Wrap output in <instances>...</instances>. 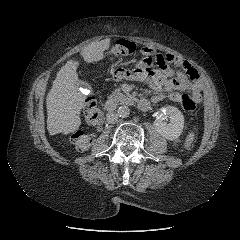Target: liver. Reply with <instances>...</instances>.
I'll return each mask as SVG.
<instances>
[{
    "label": "liver",
    "mask_w": 240,
    "mask_h": 240,
    "mask_svg": "<svg viewBox=\"0 0 240 240\" xmlns=\"http://www.w3.org/2000/svg\"><path fill=\"white\" fill-rule=\"evenodd\" d=\"M110 46V39H104L86 46L81 56L87 63L98 62ZM77 62L67 63L57 73L46 99L47 130L50 135L69 134L81 125L80 113L85 104V96L79 90Z\"/></svg>",
    "instance_id": "liver-1"
}]
</instances>
